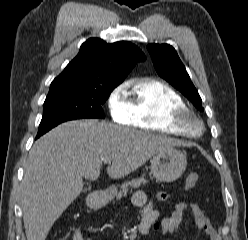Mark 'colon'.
<instances>
[{
	"instance_id": "5ec220e1",
	"label": "colon",
	"mask_w": 248,
	"mask_h": 240,
	"mask_svg": "<svg viewBox=\"0 0 248 240\" xmlns=\"http://www.w3.org/2000/svg\"><path fill=\"white\" fill-rule=\"evenodd\" d=\"M197 181H198V175L194 172L189 173L186 178V183H185L186 188L190 189L194 187Z\"/></svg>"
}]
</instances>
